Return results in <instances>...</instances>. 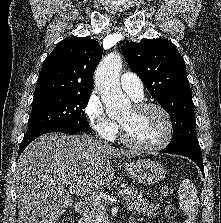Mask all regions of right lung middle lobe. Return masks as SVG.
<instances>
[{
    "label": "right lung middle lobe",
    "mask_w": 221,
    "mask_h": 223,
    "mask_svg": "<svg viewBox=\"0 0 221 223\" xmlns=\"http://www.w3.org/2000/svg\"><path fill=\"white\" fill-rule=\"evenodd\" d=\"M90 93L54 95L33 100L26 134L48 128H69L89 131L85 111Z\"/></svg>",
    "instance_id": "dd1d6c3e"
}]
</instances>
